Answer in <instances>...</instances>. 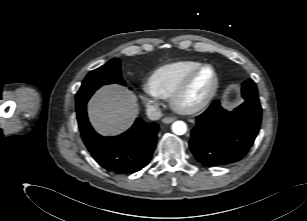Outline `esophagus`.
I'll list each match as a JSON object with an SVG mask.
<instances>
[{
  "label": "esophagus",
  "instance_id": "obj_1",
  "mask_svg": "<svg viewBox=\"0 0 307 221\" xmlns=\"http://www.w3.org/2000/svg\"><path fill=\"white\" fill-rule=\"evenodd\" d=\"M175 119L172 118V117H164L162 119V122L165 123V124H169V123H172Z\"/></svg>",
  "mask_w": 307,
  "mask_h": 221
}]
</instances>
